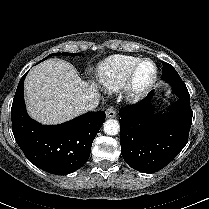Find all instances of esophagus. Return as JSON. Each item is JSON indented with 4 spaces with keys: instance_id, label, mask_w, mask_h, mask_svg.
Segmentation results:
<instances>
[{
    "instance_id": "1",
    "label": "esophagus",
    "mask_w": 209,
    "mask_h": 209,
    "mask_svg": "<svg viewBox=\"0 0 209 209\" xmlns=\"http://www.w3.org/2000/svg\"><path fill=\"white\" fill-rule=\"evenodd\" d=\"M105 114H106L107 118H114V117H116V110L113 107H109L105 111Z\"/></svg>"
}]
</instances>
